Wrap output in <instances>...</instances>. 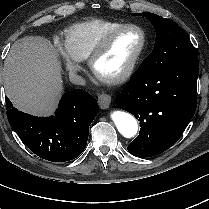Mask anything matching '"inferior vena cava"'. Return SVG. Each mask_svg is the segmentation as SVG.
<instances>
[{
    "label": "inferior vena cava",
    "mask_w": 209,
    "mask_h": 209,
    "mask_svg": "<svg viewBox=\"0 0 209 209\" xmlns=\"http://www.w3.org/2000/svg\"><path fill=\"white\" fill-rule=\"evenodd\" d=\"M69 79H70V81H71L73 84H76V85H82V86H84V85L86 84L85 79H84L82 76L77 75V74H75V73H71V74L69 75Z\"/></svg>",
    "instance_id": "inferior-vena-cava-1"
}]
</instances>
